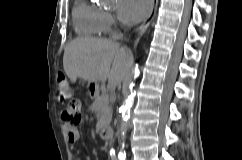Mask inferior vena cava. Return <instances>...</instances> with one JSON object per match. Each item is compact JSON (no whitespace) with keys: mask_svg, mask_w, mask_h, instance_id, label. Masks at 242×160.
<instances>
[{"mask_svg":"<svg viewBox=\"0 0 242 160\" xmlns=\"http://www.w3.org/2000/svg\"><path fill=\"white\" fill-rule=\"evenodd\" d=\"M126 54H127V56H126V58L123 59V62L124 63H129L130 62V59H131V56H130L131 51L130 50H127L126 51Z\"/></svg>","mask_w":242,"mask_h":160,"instance_id":"obj_1","label":"inferior vena cava"}]
</instances>
